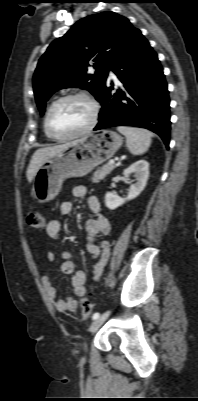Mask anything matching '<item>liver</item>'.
<instances>
[{
    "label": "liver",
    "instance_id": "1",
    "mask_svg": "<svg viewBox=\"0 0 198 401\" xmlns=\"http://www.w3.org/2000/svg\"><path fill=\"white\" fill-rule=\"evenodd\" d=\"M74 142L75 141L69 142L66 144H62V145L53 146V147L40 148V149L36 150L30 160L29 166L26 171V177H27L28 182L31 183L33 181L38 170L40 169L41 165L44 163V161L46 159L59 153L66 146H68Z\"/></svg>",
    "mask_w": 198,
    "mask_h": 401
}]
</instances>
